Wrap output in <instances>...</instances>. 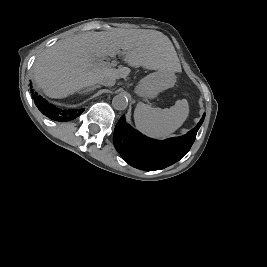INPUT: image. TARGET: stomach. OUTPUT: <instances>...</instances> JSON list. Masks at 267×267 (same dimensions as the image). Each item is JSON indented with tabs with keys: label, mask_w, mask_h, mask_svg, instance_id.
<instances>
[{
	"label": "stomach",
	"mask_w": 267,
	"mask_h": 267,
	"mask_svg": "<svg viewBox=\"0 0 267 267\" xmlns=\"http://www.w3.org/2000/svg\"><path fill=\"white\" fill-rule=\"evenodd\" d=\"M176 77L166 70H158L140 80L135 92L144 98H155L160 92L174 85Z\"/></svg>",
	"instance_id": "0dacf381"
}]
</instances>
